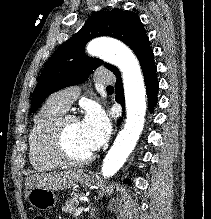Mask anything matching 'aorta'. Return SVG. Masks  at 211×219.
I'll return each mask as SVG.
<instances>
[{
	"label": "aorta",
	"mask_w": 211,
	"mask_h": 219,
	"mask_svg": "<svg viewBox=\"0 0 211 219\" xmlns=\"http://www.w3.org/2000/svg\"><path fill=\"white\" fill-rule=\"evenodd\" d=\"M87 52L117 66L123 77L127 118L112 147L106 154L101 172L113 176L134 149L143 130L146 114V89L136 56L124 44L98 39L89 43Z\"/></svg>",
	"instance_id": "obj_1"
}]
</instances>
